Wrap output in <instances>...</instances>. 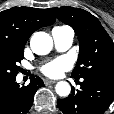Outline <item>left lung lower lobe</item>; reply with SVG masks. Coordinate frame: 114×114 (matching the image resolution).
I'll use <instances>...</instances> for the list:
<instances>
[{
	"label": "left lung lower lobe",
	"instance_id": "0a47b994",
	"mask_svg": "<svg viewBox=\"0 0 114 114\" xmlns=\"http://www.w3.org/2000/svg\"><path fill=\"white\" fill-rule=\"evenodd\" d=\"M75 78V77H74ZM80 90L58 99V108L64 114H103L114 99V80L101 77H83Z\"/></svg>",
	"mask_w": 114,
	"mask_h": 114
}]
</instances>
